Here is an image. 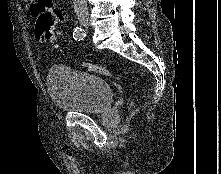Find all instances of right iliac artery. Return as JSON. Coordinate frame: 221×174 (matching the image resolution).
I'll return each mask as SVG.
<instances>
[{"mask_svg": "<svg viewBox=\"0 0 221 174\" xmlns=\"http://www.w3.org/2000/svg\"><path fill=\"white\" fill-rule=\"evenodd\" d=\"M85 36H86L85 30L82 29L81 27H76L74 29L73 38L75 40L81 41L85 38Z\"/></svg>", "mask_w": 221, "mask_h": 174, "instance_id": "right-iliac-artery-1", "label": "right iliac artery"}]
</instances>
